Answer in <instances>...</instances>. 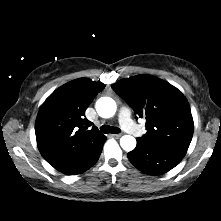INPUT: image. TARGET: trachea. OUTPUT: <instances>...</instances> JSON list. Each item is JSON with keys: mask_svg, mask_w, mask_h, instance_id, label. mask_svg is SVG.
I'll list each match as a JSON object with an SVG mask.
<instances>
[{"mask_svg": "<svg viewBox=\"0 0 221 221\" xmlns=\"http://www.w3.org/2000/svg\"><path fill=\"white\" fill-rule=\"evenodd\" d=\"M100 131L105 134H108V133L117 134L120 132V129L118 127H111L108 125H103Z\"/></svg>", "mask_w": 221, "mask_h": 221, "instance_id": "obj_1", "label": "trachea"}]
</instances>
